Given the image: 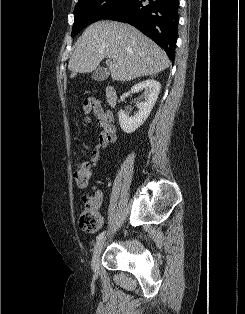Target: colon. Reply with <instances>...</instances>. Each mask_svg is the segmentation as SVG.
<instances>
[{
  "instance_id": "1",
  "label": "colon",
  "mask_w": 245,
  "mask_h": 314,
  "mask_svg": "<svg viewBox=\"0 0 245 314\" xmlns=\"http://www.w3.org/2000/svg\"><path fill=\"white\" fill-rule=\"evenodd\" d=\"M87 100L84 103H87ZM83 121L87 122V119L85 118ZM73 178L79 188H86L91 178V164L86 160L79 161L73 171ZM82 203L83 209L79 215V226L84 231L93 232L101 223L97 196H84Z\"/></svg>"
}]
</instances>
